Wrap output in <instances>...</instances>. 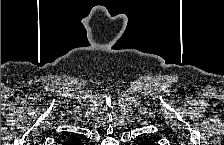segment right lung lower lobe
Returning a JSON list of instances; mask_svg holds the SVG:
<instances>
[{
	"label": "right lung lower lobe",
	"instance_id": "98d812e1",
	"mask_svg": "<svg viewBox=\"0 0 224 145\" xmlns=\"http://www.w3.org/2000/svg\"><path fill=\"white\" fill-rule=\"evenodd\" d=\"M80 144H81V142L79 140L73 142V145H80Z\"/></svg>",
	"mask_w": 224,
	"mask_h": 145
}]
</instances>
